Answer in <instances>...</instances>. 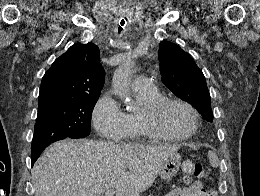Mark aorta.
<instances>
[{
    "label": "aorta",
    "instance_id": "obj_1",
    "mask_svg": "<svg viewBox=\"0 0 260 196\" xmlns=\"http://www.w3.org/2000/svg\"><path fill=\"white\" fill-rule=\"evenodd\" d=\"M134 60L128 58L115 70L112 78V89L114 94L121 100H129V83L131 80Z\"/></svg>",
    "mask_w": 260,
    "mask_h": 196
}]
</instances>
